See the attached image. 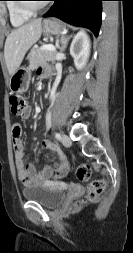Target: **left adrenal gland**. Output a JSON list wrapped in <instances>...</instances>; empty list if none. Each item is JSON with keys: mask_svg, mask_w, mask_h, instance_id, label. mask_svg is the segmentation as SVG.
<instances>
[{"mask_svg": "<svg viewBox=\"0 0 133 253\" xmlns=\"http://www.w3.org/2000/svg\"><path fill=\"white\" fill-rule=\"evenodd\" d=\"M72 37V35L70 36H62L61 39H60V43H61V51H64L67 44H68V41L70 40V38Z\"/></svg>", "mask_w": 133, "mask_h": 253, "instance_id": "a2214340", "label": "left adrenal gland"}]
</instances>
